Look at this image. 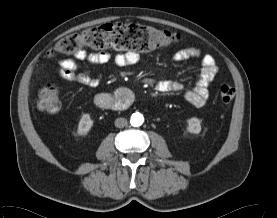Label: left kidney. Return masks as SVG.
<instances>
[{"label":"left kidney","instance_id":"1","mask_svg":"<svg viewBox=\"0 0 277 218\" xmlns=\"http://www.w3.org/2000/svg\"><path fill=\"white\" fill-rule=\"evenodd\" d=\"M188 126H187V131L192 134H198L201 131V121L196 118L192 117L187 120Z\"/></svg>","mask_w":277,"mask_h":218}]
</instances>
